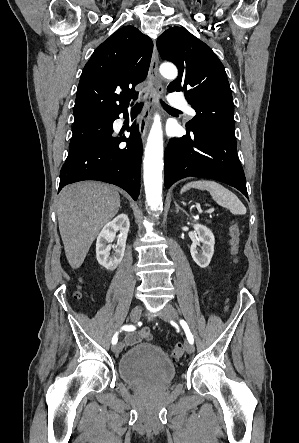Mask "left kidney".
I'll return each mask as SVG.
<instances>
[{"label": "left kidney", "mask_w": 299, "mask_h": 443, "mask_svg": "<svg viewBox=\"0 0 299 443\" xmlns=\"http://www.w3.org/2000/svg\"><path fill=\"white\" fill-rule=\"evenodd\" d=\"M194 230L197 234L190 247V252L195 263L201 268H206L214 254L215 238L209 228L201 224H195ZM201 246V251L197 246Z\"/></svg>", "instance_id": "obj_1"}]
</instances>
